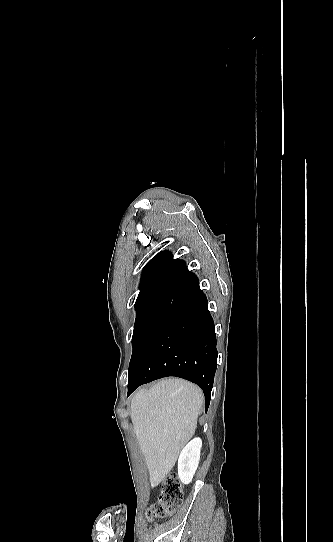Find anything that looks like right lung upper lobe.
<instances>
[{
  "label": "right lung upper lobe",
  "instance_id": "right-lung-upper-lobe-1",
  "mask_svg": "<svg viewBox=\"0 0 333 542\" xmlns=\"http://www.w3.org/2000/svg\"><path fill=\"white\" fill-rule=\"evenodd\" d=\"M169 254L171 253L168 251L161 252L145 265L135 306L161 301L191 274L188 270L170 264Z\"/></svg>",
  "mask_w": 333,
  "mask_h": 542
}]
</instances>
